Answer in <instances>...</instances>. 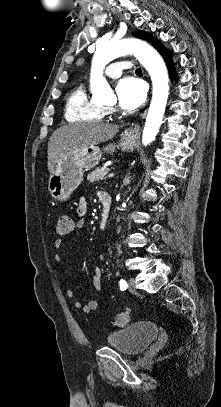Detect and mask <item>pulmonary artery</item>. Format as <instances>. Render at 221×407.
<instances>
[{
  "label": "pulmonary artery",
  "mask_w": 221,
  "mask_h": 407,
  "mask_svg": "<svg viewBox=\"0 0 221 407\" xmlns=\"http://www.w3.org/2000/svg\"><path fill=\"white\" fill-rule=\"evenodd\" d=\"M132 65L131 61L126 57H120L116 61L110 62L106 69V75L111 78H117L123 71H129Z\"/></svg>",
  "instance_id": "1"
}]
</instances>
